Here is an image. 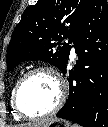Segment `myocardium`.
<instances>
[{"mask_svg":"<svg viewBox=\"0 0 108 127\" xmlns=\"http://www.w3.org/2000/svg\"><path fill=\"white\" fill-rule=\"evenodd\" d=\"M37 73H47L49 75H51L57 82L58 84V88H59V97L57 100V103L55 104V106L49 110L46 113L40 114V115H30L27 114L26 112H24L22 110V108L20 107L19 104V95H20V91L24 85V83L28 80V78H30L31 76L37 74ZM67 85L65 80L63 79V77L54 69L49 68V67H36L33 68L31 70H29L28 72H26L17 82L14 92H13V97H12V104H13V108L15 109L16 113L25 119H30V120H34V119H41V118H45L51 115H54L55 113H57L62 106L64 105L66 99H67Z\"/></svg>","mask_w":108,"mask_h":127,"instance_id":"obj_1","label":"myocardium"}]
</instances>
